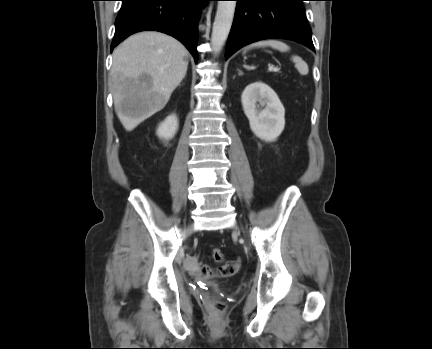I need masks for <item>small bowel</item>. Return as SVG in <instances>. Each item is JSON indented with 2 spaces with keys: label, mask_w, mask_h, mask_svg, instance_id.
Masks as SVG:
<instances>
[{
  "label": "small bowel",
  "mask_w": 432,
  "mask_h": 349,
  "mask_svg": "<svg viewBox=\"0 0 432 349\" xmlns=\"http://www.w3.org/2000/svg\"><path fill=\"white\" fill-rule=\"evenodd\" d=\"M239 268L240 261L233 260L217 269L205 265L202 267L201 272L205 279L216 280L221 278H228L235 275L239 271Z\"/></svg>",
  "instance_id": "small-bowel-1"
}]
</instances>
